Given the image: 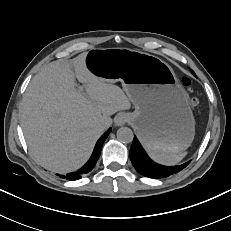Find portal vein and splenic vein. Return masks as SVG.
<instances>
[{
    "instance_id": "obj_1",
    "label": "portal vein and splenic vein",
    "mask_w": 231,
    "mask_h": 231,
    "mask_svg": "<svg viewBox=\"0 0 231 231\" xmlns=\"http://www.w3.org/2000/svg\"><path fill=\"white\" fill-rule=\"evenodd\" d=\"M79 90H80L83 94H85V93L83 92V87H79Z\"/></svg>"
}]
</instances>
